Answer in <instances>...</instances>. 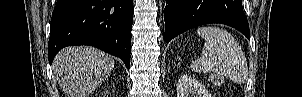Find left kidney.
I'll return each instance as SVG.
<instances>
[{
  "label": "left kidney",
  "mask_w": 302,
  "mask_h": 97,
  "mask_svg": "<svg viewBox=\"0 0 302 97\" xmlns=\"http://www.w3.org/2000/svg\"><path fill=\"white\" fill-rule=\"evenodd\" d=\"M177 97H212L206 87L191 75H181L176 85Z\"/></svg>",
  "instance_id": "left-kidney-1"
}]
</instances>
